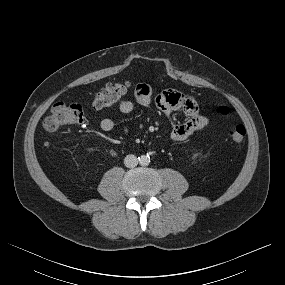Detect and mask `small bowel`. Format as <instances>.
Masks as SVG:
<instances>
[{
  "mask_svg": "<svg viewBox=\"0 0 285 285\" xmlns=\"http://www.w3.org/2000/svg\"><path fill=\"white\" fill-rule=\"evenodd\" d=\"M135 100L142 106H148L152 102L168 118L174 111H183L187 120L183 123H173L170 131V140L174 142L184 141L193 133L208 126L209 119L201 114L196 100L186 94L175 90H166L157 95H153L149 85L140 83L135 87ZM118 108L124 114L130 113L134 109V103L131 100L123 99L119 102ZM100 127L105 132H112L115 128V122L108 117L101 119ZM127 127H123L122 133H127Z\"/></svg>",
  "mask_w": 285,
  "mask_h": 285,
  "instance_id": "small-bowel-1",
  "label": "small bowel"
}]
</instances>
